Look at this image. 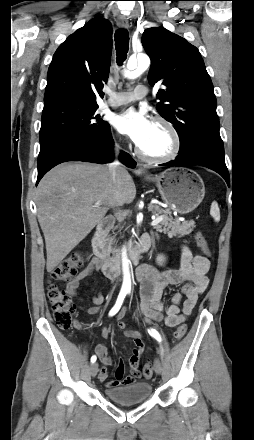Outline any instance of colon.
I'll list each match as a JSON object with an SVG mask.
<instances>
[{
	"instance_id": "1",
	"label": "colon",
	"mask_w": 254,
	"mask_h": 440,
	"mask_svg": "<svg viewBox=\"0 0 254 440\" xmlns=\"http://www.w3.org/2000/svg\"><path fill=\"white\" fill-rule=\"evenodd\" d=\"M197 246L201 251L209 256V244L205 236L197 232L194 236ZM84 263V255L82 252H75L67 257L65 260L57 264L50 272V276L55 281H65L73 277L78 269ZM48 298L53 312L55 324L62 330H70L74 326L73 315L75 313V304L70 299L68 293L61 289L58 285L51 283L48 287ZM187 332V326L181 324L173 333L174 341L183 339ZM143 374L150 378L153 375V369L150 364L144 366Z\"/></svg>"
}]
</instances>
